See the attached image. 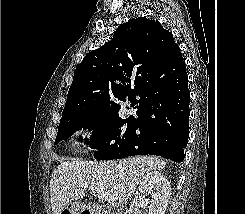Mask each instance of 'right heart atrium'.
I'll list each match as a JSON object with an SVG mask.
<instances>
[{
	"label": "right heart atrium",
	"instance_id": "1",
	"mask_svg": "<svg viewBox=\"0 0 245 214\" xmlns=\"http://www.w3.org/2000/svg\"><path fill=\"white\" fill-rule=\"evenodd\" d=\"M93 134L94 129L89 125H83L79 127L74 133L78 143L81 145L90 142L93 138Z\"/></svg>",
	"mask_w": 245,
	"mask_h": 214
}]
</instances>
